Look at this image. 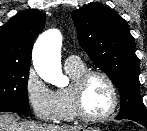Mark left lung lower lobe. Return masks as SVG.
Returning <instances> with one entry per match:
<instances>
[{"instance_id":"left-lung-lower-lobe-1","label":"left lung lower lobe","mask_w":147,"mask_h":131,"mask_svg":"<svg viewBox=\"0 0 147 131\" xmlns=\"http://www.w3.org/2000/svg\"><path fill=\"white\" fill-rule=\"evenodd\" d=\"M116 119H118V118H116ZM133 121L143 125L147 129V122H143V121H140V120H133Z\"/></svg>"}]
</instances>
